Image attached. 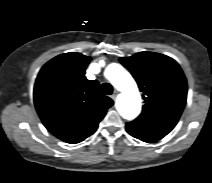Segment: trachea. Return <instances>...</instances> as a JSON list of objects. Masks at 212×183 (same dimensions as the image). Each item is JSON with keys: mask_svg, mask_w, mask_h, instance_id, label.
Instances as JSON below:
<instances>
[{"mask_svg": "<svg viewBox=\"0 0 212 183\" xmlns=\"http://www.w3.org/2000/svg\"><path fill=\"white\" fill-rule=\"evenodd\" d=\"M101 88L103 93L106 95H111L113 93V87L109 83H103Z\"/></svg>", "mask_w": 212, "mask_h": 183, "instance_id": "trachea-1", "label": "trachea"}]
</instances>
